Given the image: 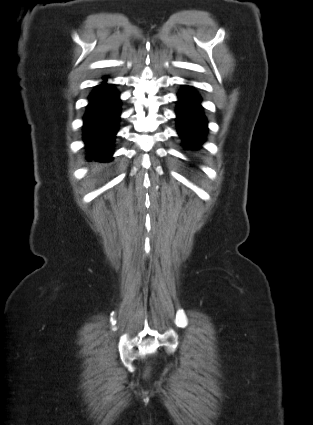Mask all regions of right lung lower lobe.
I'll list each match as a JSON object with an SVG mask.
<instances>
[{"label": "right lung lower lobe", "instance_id": "right-lung-lower-lobe-1", "mask_svg": "<svg viewBox=\"0 0 313 425\" xmlns=\"http://www.w3.org/2000/svg\"><path fill=\"white\" fill-rule=\"evenodd\" d=\"M106 81L107 77H104L103 83L90 94L84 116L83 140L88 150L87 159L94 158L99 162L111 160L120 115L119 93Z\"/></svg>", "mask_w": 313, "mask_h": 425}]
</instances>
